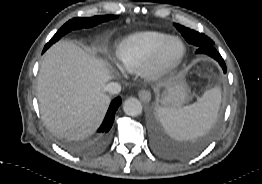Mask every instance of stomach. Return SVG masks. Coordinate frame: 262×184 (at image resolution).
Wrapping results in <instances>:
<instances>
[{
	"label": "stomach",
	"instance_id": "0dacf381",
	"mask_svg": "<svg viewBox=\"0 0 262 184\" xmlns=\"http://www.w3.org/2000/svg\"><path fill=\"white\" fill-rule=\"evenodd\" d=\"M188 99V88L182 81L167 85L161 93L160 103L166 108H179Z\"/></svg>",
	"mask_w": 262,
	"mask_h": 184
}]
</instances>
